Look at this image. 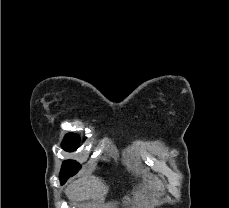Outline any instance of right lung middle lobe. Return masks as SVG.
<instances>
[{"instance_id": "obj_1", "label": "right lung middle lobe", "mask_w": 229, "mask_h": 208, "mask_svg": "<svg viewBox=\"0 0 229 208\" xmlns=\"http://www.w3.org/2000/svg\"><path fill=\"white\" fill-rule=\"evenodd\" d=\"M80 137L74 133H68L63 141L62 148L68 152L75 151L79 146ZM81 168L80 164L74 160H66L63 162L60 177H71Z\"/></svg>"}]
</instances>
